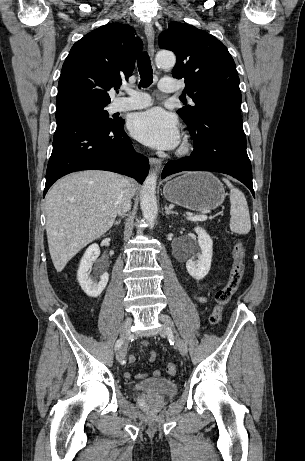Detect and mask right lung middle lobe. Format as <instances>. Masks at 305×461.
Masks as SVG:
<instances>
[{
  "mask_svg": "<svg viewBox=\"0 0 305 461\" xmlns=\"http://www.w3.org/2000/svg\"><path fill=\"white\" fill-rule=\"evenodd\" d=\"M109 103H82L59 107L56 110V119L62 116H76L93 123L108 125L115 121L109 118L106 110Z\"/></svg>",
  "mask_w": 305,
  "mask_h": 461,
  "instance_id": "dd1d6c3e",
  "label": "right lung middle lobe"
}]
</instances>
